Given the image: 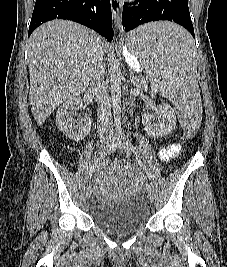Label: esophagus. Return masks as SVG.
<instances>
[{
  "label": "esophagus",
  "instance_id": "esophagus-1",
  "mask_svg": "<svg viewBox=\"0 0 227 267\" xmlns=\"http://www.w3.org/2000/svg\"><path fill=\"white\" fill-rule=\"evenodd\" d=\"M114 22L117 28H120V11L122 2L120 0H110Z\"/></svg>",
  "mask_w": 227,
  "mask_h": 267
}]
</instances>
